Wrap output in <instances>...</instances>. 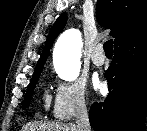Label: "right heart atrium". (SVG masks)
I'll use <instances>...</instances> for the list:
<instances>
[{
	"mask_svg": "<svg viewBox=\"0 0 147 131\" xmlns=\"http://www.w3.org/2000/svg\"><path fill=\"white\" fill-rule=\"evenodd\" d=\"M87 88L83 81H58L52 104V114L59 121H68L86 112Z\"/></svg>",
	"mask_w": 147,
	"mask_h": 131,
	"instance_id": "d8ad5b80",
	"label": "right heart atrium"
}]
</instances>
